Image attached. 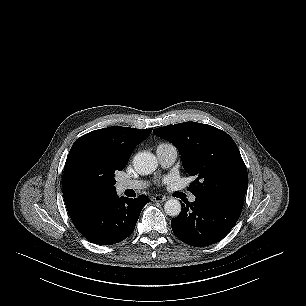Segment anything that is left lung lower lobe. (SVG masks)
I'll return each mask as SVG.
<instances>
[{"label":"left lung lower lobe","mask_w":306,"mask_h":306,"mask_svg":"<svg viewBox=\"0 0 306 306\" xmlns=\"http://www.w3.org/2000/svg\"><path fill=\"white\" fill-rule=\"evenodd\" d=\"M244 200L227 196L196 197L182 203L181 213L171 220L177 238L201 247L223 239L240 217Z\"/></svg>","instance_id":"obj_1"}]
</instances>
